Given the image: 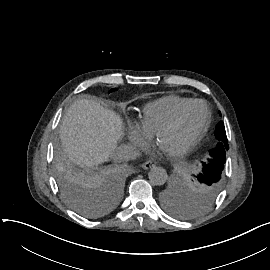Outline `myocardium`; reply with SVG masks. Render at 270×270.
Returning <instances> with one entry per match:
<instances>
[{"label":"myocardium","instance_id":"1","mask_svg":"<svg viewBox=\"0 0 270 270\" xmlns=\"http://www.w3.org/2000/svg\"><path fill=\"white\" fill-rule=\"evenodd\" d=\"M202 105L205 109V121L200 130L187 142L183 147L176 150L178 155H184L189 153L201 140L205 132L207 131L210 121H211V113L204 101L195 100L183 107L176 115H174L157 133L156 137L159 139L160 136L168 131H171L179 126L185 114L194 106Z\"/></svg>","mask_w":270,"mask_h":270}]
</instances>
